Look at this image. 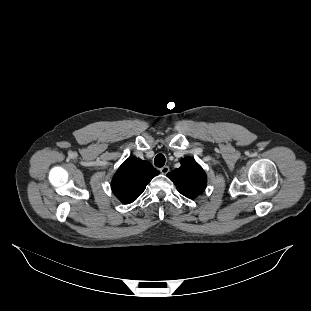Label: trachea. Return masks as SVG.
I'll return each instance as SVG.
<instances>
[{"label": "trachea", "instance_id": "obj_1", "mask_svg": "<svg viewBox=\"0 0 311 311\" xmlns=\"http://www.w3.org/2000/svg\"><path fill=\"white\" fill-rule=\"evenodd\" d=\"M154 164L156 167H163L165 165V156L163 154L156 155Z\"/></svg>", "mask_w": 311, "mask_h": 311}]
</instances>
